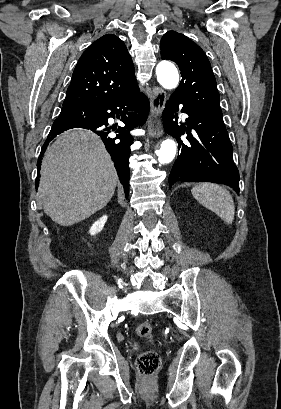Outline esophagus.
<instances>
[{"label":"esophagus","instance_id":"obj_1","mask_svg":"<svg viewBox=\"0 0 281 409\" xmlns=\"http://www.w3.org/2000/svg\"><path fill=\"white\" fill-rule=\"evenodd\" d=\"M166 92L159 87H153V95L150 104V120L148 125V133L151 137L158 138L163 135V128L160 125H155L165 108Z\"/></svg>","mask_w":281,"mask_h":409}]
</instances>
